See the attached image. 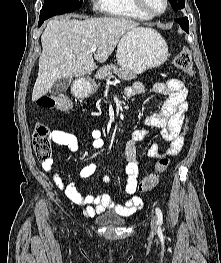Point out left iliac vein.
<instances>
[{"mask_svg": "<svg viewBox=\"0 0 221 263\" xmlns=\"http://www.w3.org/2000/svg\"><path fill=\"white\" fill-rule=\"evenodd\" d=\"M151 229L153 231H156V229H157V222H156V217L155 216H153L152 219H151Z\"/></svg>", "mask_w": 221, "mask_h": 263, "instance_id": "obj_1", "label": "left iliac vein"}]
</instances>
